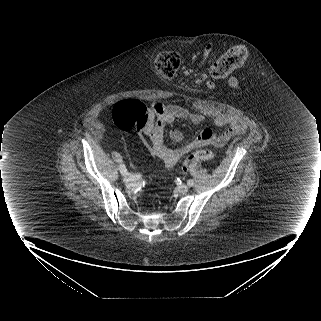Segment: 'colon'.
I'll return each mask as SVG.
<instances>
[{"label": "colon", "instance_id": "5ec220e1", "mask_svg": "<svg viewBox=\"0 0 321 321\" xmlns=\"http://www.w3.org/2000/svg\"><path fill=\"white\" fill-rule=\"evenodd\" d=\"M248 51L245 46L237 45L229 49L221 58L215 61L209 74L214 79H222L230 75L234 70L244 64ZM181 64L179 54L174 51H159L153 56V65L156 72L163 78H172L176 75ZM113 121L117 127L124 131L132 129L142 130L148 121V110L142 102L130 99L118 103L113 110ZM211 133L206 130L205 136L200 139L201 146L210 145ZM214 154L207 149H199L189 155L181 166L182 171H186L191 162L210 161Z\"/></svg>", "mask_w": 321, "mask_h": 321}]
</instances>
